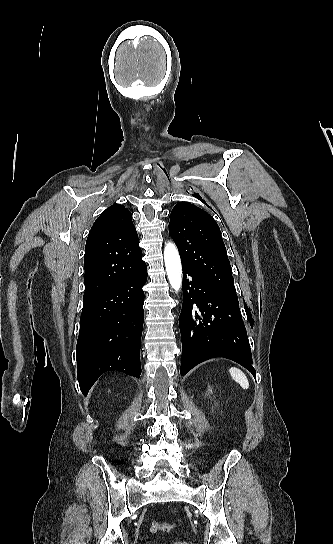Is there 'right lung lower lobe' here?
Segmentation results:
<instances>
[{
	"label": "right lung lower lobe",
	"mask_w": 333,
	"mask_h": 544,
	"mask_svg": "<svg viewBox=\"0 0 333 544\" xmlns=\"http://www.w3.org/2000/svg\"><path fill=\"white\" fill-rule=\"evenodd\" d=\"M147 267L143 264L109 291L83 301L76 347L77 378L86 396L101 374L139 378Z\"/></svg>",
	"instance_id": "98d812e1"
}]
</instances>
